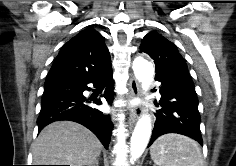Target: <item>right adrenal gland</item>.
Segmentation results:
<instances>
[{
  "label": "right adrenal gland",
  "instance_id": "1",
  "mask_svg": "<svg viewBox=\"0 0 236 166\" xmlns=\"http://www.w3.org/2000/svg\"><path fill=\"white\" fill-rule=\"evenodd\" d=\"M91 166H99V160L97 159Z\"/></svg>",
  "mask_w": 236,
  "mask_h": 166
}]
</instances>
